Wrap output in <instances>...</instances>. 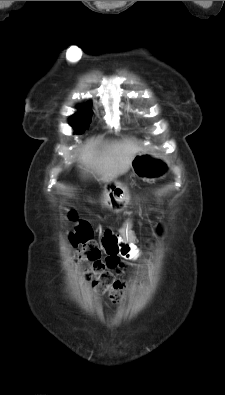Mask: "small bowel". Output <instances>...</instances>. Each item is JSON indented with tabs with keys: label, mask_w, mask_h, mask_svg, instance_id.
Wrapping results in <instances>:
<instances>
[{
	"label": "small bowel",
	"mask_w": 225,
	"mask_h": 395,
	"mask_svg": "<svg viewBox=\"0 0 225 395\" xmlns=\"http://www.w3.org/2000/svg\"><path fill=\"white\" fill-rule=\"evenodd\" d=\"M102 246L106 252L107 258L111 263L109 268L121 266V260H137L140 257L139 250L134 246L132 238H119L111 232H106L102 238Z\"/></svg>",
	"instance_id": "small-bowel-1"
}]
</instances>
